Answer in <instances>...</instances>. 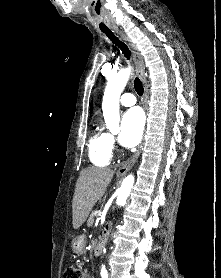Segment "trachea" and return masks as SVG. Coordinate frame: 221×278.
Returning <instances> with one entry per match:
<instances>
[{
    "mask_svg": "<svg viewBox=\"0 0 221 278\" xmlns=\"http://www.w3.org/2000/svg\"><path fill=\"white\" fill-rule=\"evenodd\" d=\"M102 32L105 33L106 36H107L115 45H117V46L121 49L122 53L125 55V57H126L127 59L130 58V50H129V48L127 47L126 44H124L123 42H121V41L112 33V31H110V30H103ZM134 88H135V90H136V92H137L138 95H140V96L143 95L144 89H143L142 82L140 81L139 78H135V80H134Z\"/></svg>",
    "mask_w": 221,
    "mask_h": 278,
    "instance_id": "trachea-1",
    "label": "trachea"
}]
</instances>
